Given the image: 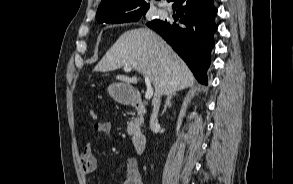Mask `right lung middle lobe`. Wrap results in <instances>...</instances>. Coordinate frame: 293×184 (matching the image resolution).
I'll return each mask as SVG.
<instances>
[{
	"label": "right lung middle lobe",
	"instance_id": "dd1d6c3e",
	"mask_svg": "<svg viewBox=\"0 0 293 184\" xmlns=\"http://www.w3.org/2000/svg\"><path fill=\"white\" fill-rule=\"evenodd\" d=\"M146 11L144 12H140V13H137L131 17H128V18H125L117 23H123V22H135V21H138L140 20V18H142L143 15H145Z\"/></svg>",
	"mask_w": 293,
	"mask_h": 184
}]
</instances>
